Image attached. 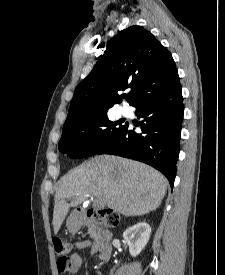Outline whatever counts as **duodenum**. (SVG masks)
Instances as JSON below:
<instances>
[{"label": "duodenum", "instance_id": "obj_1", "mask_svg": "<svg viewBox=\"0 0 225 275\" xmlns=\"http://www.w3.org/2000/svg\"><path fill=\"white\" fill-rule=\"evenodd\" d=\"M98 212L95 208L85 212L83 209H78L75 213L79 216L80 221L84 225H91L96 235V247L98 251V259L105 263L111 257L113 251V234L107 228L99 225L93 220L94 214Z\"/></svg>", "mask_w": 225, "mask_h": 275}]
</instances>
